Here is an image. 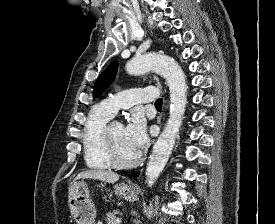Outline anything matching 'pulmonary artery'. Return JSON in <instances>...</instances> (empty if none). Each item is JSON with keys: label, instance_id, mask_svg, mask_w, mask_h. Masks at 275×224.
Wrapping results in <instances>:
<instances>
[{"label": "pulmonary artery", "instance_id": "pulmonary-artery-1", "mask_svg": "<svg viewBox=\"0 0 275 224\" xmlns=\"http://www.w3.org/2000/svg\"><path fill=\"white\" fill-rule=\"evenodd\" d=\"M159 91L155 87L131 88L115 93L104 99L100 106L106 112L114 115L119 108L131 107L134 104L157 100Z\"/></svg>", "mask_w": 275, "mask_h": 224}]
</instances>
